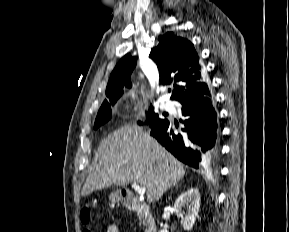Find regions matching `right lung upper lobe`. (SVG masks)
Masks as SVG:
<instances>
[{"mask_svg":"<svg viewBox=\"0 0 289 232\" xmlns=\"http://www.w3.org/2000/svg\"><path fill=\"white\" fill-rule=\"evenodd\" d=\"M158 40V46L151 50L149 57L156 62L160 81L163 84H170L174 81L171 99L181 102L185 99L211 94L209 83L202 72L193 44L173 32L159 36ZM136 61V57L126 54L117 63L106 88V96L109 99L120 97L124 85L128 88L132 87L130 75L136 66ZM176 82L180 85H176Z\"/></svg>","mask_w":289,"mask_h":232,"instance_id":"1","label":"right lung upper lobe"}]
</instances>
